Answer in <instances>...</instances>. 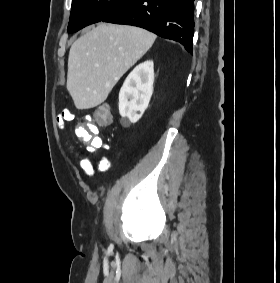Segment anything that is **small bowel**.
Returning <instances> with one entry per match:
<instances>
[{"instance_id": "c3829d8e", "label": "small bowel", "mask_w": 280, "mask_h": 283, "mask_svg": "<svg viewBox=\"0 0 280 283\" xmlns=\"http://www.w3.org/2000/svg\"><path fill=\"white\" fill-rule=\"evenodd\" d=\"M74 115L67 110H64L56 119L57 126L61 129L66 127L67 122L72 120ZM101 147H95L91 144H86V150L91 155H98ZM70 151L76 156L80 157L79 166L83 174L87 177H92L95 173V166L93 161L89 157L80 156V154L70 146ZM111 166V158L108 155H99V161L97 165V171L103 173L107 171Z\"/></svg>"}]
</instances>
